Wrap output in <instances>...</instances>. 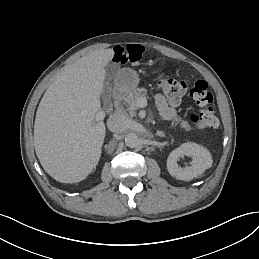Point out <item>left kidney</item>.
Masks as SVG:
<instances>
[{
	"label": "left kidney",
	"instance_id": "obj_1",
	"mask_svg": "<svg viewBox=\"0 0 259 259\" xmlns=\"http://www.w3.org/2000/svg\"><path fill=\"white\" fill-rule=\"evenodd\" d=\"M191 157L193 159L191 166L182 169L178 165V159L181 157ZM212 159L207 150L196 144H183L174 149L168 156L167 169L171 176L178 180H191L203 174L210 168Z\"/></svg>",
	"mask_w": 259,
	"mask_h": 259
}]
</instances>
